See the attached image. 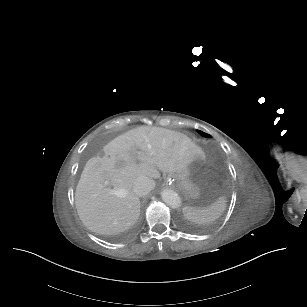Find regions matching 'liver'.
<instances>
[{
	"label": "liver",
	"instance_id": "6515ba94",
	"mask_svg": "<svg viewBox=\"0 0 307 307\" xmlns=\"http://www.w3.org/2000/svg\"><path fill=\"white\" fill-rule=\"evenodd\" d=\"M199 152L185 134L160 127L141 126L118 136L82 171L75 192L80 220L98 234L125 231L140 214V199L133 192L136 179L145 176L156 185L160 172L187 169Z\"/></svg>",
	"mask_w": 307,
	"mask_h": 307
}]
</instances>
